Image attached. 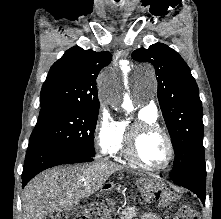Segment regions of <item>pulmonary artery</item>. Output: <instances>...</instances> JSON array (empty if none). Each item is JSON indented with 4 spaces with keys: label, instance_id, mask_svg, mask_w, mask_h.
Segmentation results:
<instances>
[{
    "label": "pulmonary artery",
    "instance_id": "pulmonary-artery-1",
    "mask_svg": "<svg viewBox=\"0 0 221 219\" xmlns=\"http://www.w3.org/2000/svg\"><path fill=\"white\" fill-rule=\"evenodd\" d=\"M143 110L152 114L153 116H157V113H158L157 105L154 102H150L149 104H147L143 108Z\"/></svg>",
    "mask_w": 221,
    "mask_h": 219
}]
</instances>
